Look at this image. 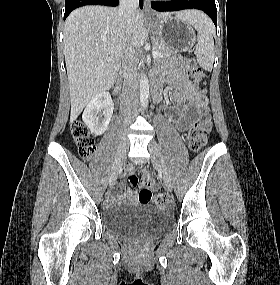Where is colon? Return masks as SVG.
Returning <instances> with one entry per match:
<instances>
[{"instance_id":"obj_1","label":"colon","mask_w":280,"mask_h":285,"mask_svg":"<svg viewBox=\"0 0 280 285\" xmlns=\"http://www.w3.org/2000/svg\"><path fill=\"white\" fill-rule=\"evenodd\" d=\"M186 69L191 78L198 84H204V74L192 58L185 60ZM210 126L208 122H194L190 125L187 135L188 145L191 150L199 151L207 142V135ZM71 134L74 144L83 158L90 157L95 151V138L86 125L80 121L74 122L71 126ZM126 178L132 184L138 183V178L133 174H126ZM140 183L145 188L154 185L150 173L143 172ZM169 201L167 195L161 193L153 197V202L158 205H165Z\"/></svg>"}]
</instances>
